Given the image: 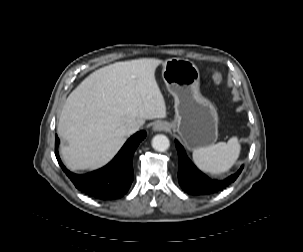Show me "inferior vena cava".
Wrapping results in <instances>:
<instances>
[{"label":"inferior vena cava","instance_id":"inferior-vena-cava-1","mask_svg":"<svg viewBox=\"0 0 303 252\" xmlns=\"http://www.w3.org/2000/svg\"><path fill=\"white\" fill-rule=\"evenodd\" d=\"M140 126H141V124L139 122L132 121L124 126L123 133L126 136H129V135L135 133L136 131H138Z\"/></svg>","mask_w":303,"mask_h":252}]
</instances>
